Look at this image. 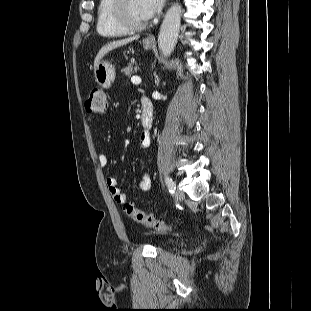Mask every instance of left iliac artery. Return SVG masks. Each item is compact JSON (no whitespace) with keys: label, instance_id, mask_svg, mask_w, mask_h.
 Instances as JSON below:
<instances>
[{"label":"left iliac artery","instance_id":"left-iliac-artery-1","mask_svg":"<svg viewBox=\"0 0 311 311\" xmlns=\"http://www.w3.org/2000/svg\"><path fill=\"white\" fill-rule=\"evenodd\" d=\"M165 183H166V185H167V187H168V189H169V192L171 193V194H174L175 193V190H176V186H175V183L173 182V180H172V178H170V177H166L165 178Z\"/></svg>","mask_w":311,"mask_h":311}]
</instances>
